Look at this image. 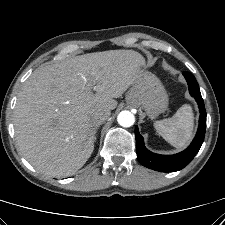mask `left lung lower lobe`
Instances as JSON below:
<instances>
[{
    "label": "left lung lower lobe",
    "instance_id": "left-lung-lower-lobe-1",
    "mask_svg": "<svg viewBox=\"0 0 225 225\" xmlns=\"http://www.w3.org/2000/svg\"><path fill=\"white\" fill-rule=\"evenodd\" d=\"M183 75L187 80L189 92L193 97H195L200 109L199 128L190 146L183 152L175 155L155 154L145 148L143 137L140 135L138 127L135 128L138 161L143 166L159 172H175L183 169L191 162L204 141L206 130V110L199 90V85L191 73L184 72Z\"/></svg>",
    "mask_w": 225,
    "mask_h": 225
}]
</instances>
